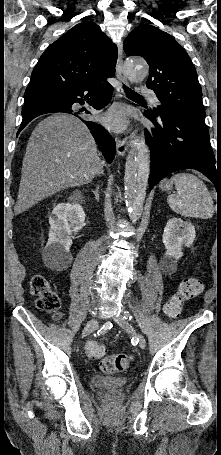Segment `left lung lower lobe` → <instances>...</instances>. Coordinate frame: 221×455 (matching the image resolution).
Instances as JSON below:
<instances>
[{"mask_svg":"<svg viewBox=\"0 0 221 455\" xmlns=\"http://www.w3.org/2000/svg\"><path fill=\"white\" fill-rule=\"evenodd\" d=\"M145 115L155 125L151 133L146 130L151 153L150 189L170 173L192 168L206 175L220 191V161L215 166L204 120L170 112L155 114L149 110Z\"/></svg>","mask_w":221,"mask_h":455,"instance_id":"obj_1","label":"left lung lower lobe"}]
</instances>
